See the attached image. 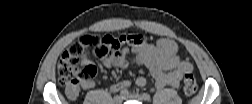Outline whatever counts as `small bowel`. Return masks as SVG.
Segmentation results:
<instances>
[{
  "label": "small bowel",
  "instance_id": "c3829d8e",
  "mask_svg": "<svg viewBox=\"0 0 252 104\" xmlns=\"http://www.w3.org/2000/svg\"><path fill=\"white\" fill-rule=\"evenodd\" d=\"M177 44L170 39L160 38L156 43H143L133 50L123 48L117 50L110 57L103 60L105 67L128 68L131 65L129 57L133 54L134 61L138 65L145 66L155 79L157 88L171 86L179 87L182 77L186 73L193 71V65L182 59L177 54ZM86 64L93 65L91 61L86 60ZM94 66V65H93ZM147 83L145 77L140 76L136 79L135 84L138 87H144ZM129 80L119 81L110 86L112 92L125 90L130 86ZM95 86L93 79L83 81L80 87L84 90L91 89Z\"/></svg>",
  "mask_w": 252,
  "mask_h": 104
}]
</instances>
